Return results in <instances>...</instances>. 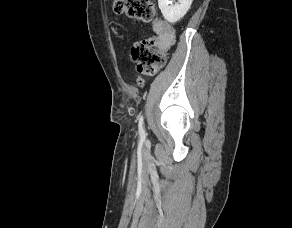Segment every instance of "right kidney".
<instances>
[{"instance_id": "ca27d5eb", "label": "right kidney", "mask_w": 292, "mask_h": 228, "mask_svg": "<svg viewBox=\"0 0 292 228\" xmlns=\"http://www.w3.org/2000/svg\"><path fill=\"white\" fill-rule=\"evenodd\" d=\"M193 0H158V5L163 17L169 23H176L179 21L189 10Z\"/></svg>"}]
</instances>
